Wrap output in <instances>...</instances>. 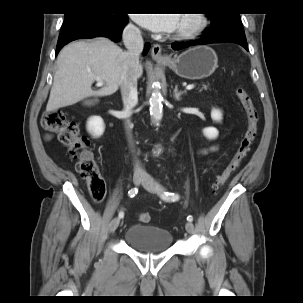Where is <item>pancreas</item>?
Segmentation results:
<instances>
[{"label":"pancreas","mask_w":303,"mask_h":303,"mask_svg":"<svg viewBox=\"0 0 303 303\" xmlns=\"http://www.w3.org/2000/svg\"><path fill=\"white\" fill-rule=\"evenodd\" d=\"M208 88V85H203V89H207Z\"/></svg>","instance_id":"cf45deb5"}]
</instances>
